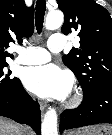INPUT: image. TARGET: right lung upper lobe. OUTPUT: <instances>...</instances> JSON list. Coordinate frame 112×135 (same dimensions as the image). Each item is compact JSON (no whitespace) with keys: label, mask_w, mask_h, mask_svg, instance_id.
Masks as SVG:
<instances>
[{"label":"right lung upper lobe","mask_w":112,"mask_h":135,"mask_svg":"<svg viewBox=\"0 0 112 135\" xmlns=\"http://www.w3.org/2000/svg\"><path fill=\"white\" fill-rule=\"evenodd\" d=\"M34 30V8L27 7L24 0H0V61L12 57L6 49L16 38L22 42Z\"/></svg>","instance_id":"cb5924a9"}]
</instances>
